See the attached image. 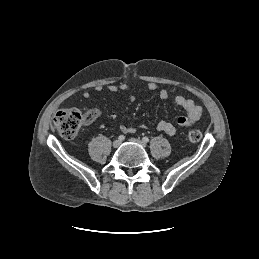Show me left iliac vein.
<instances>
[{
  "instance_id": "1",
  "label": "left iliac vein",
  "mask_w": 259,
  "mask_h": 259,
  "mask_svg": "<svg viewBox=\"0 0 259 259\" xmlns=\"http://www.w3.org/2000/svg\"><path fill=\"white\" fill-rule=\"evenodd\" d=\"M130 141L134 142V143H137V144L141 145L142 147H146V144L143 141L139 140V139L131 138Z\"/></svg>"
}]
</instances>
